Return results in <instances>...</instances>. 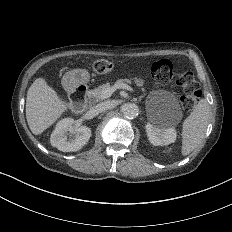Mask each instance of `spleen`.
Listing matches in <instances>:
<instances>
[{
    "label": "spleen",
    "instance_id": "1",
    "mask_svg": "<svg viewBox=\"0 0 232 232\" xmlns=\"http://www.w3.org/2000/svg\"><path fill=\"white\" fill-rule=\"evenodd\" d=\"M209 119V104L206 99H201L183 122L182 155L190 154L200 144L207 130Z\"/></svg>",
    "mask_w": 232,
    "mask_h": 232
}]
</instances>
